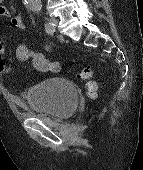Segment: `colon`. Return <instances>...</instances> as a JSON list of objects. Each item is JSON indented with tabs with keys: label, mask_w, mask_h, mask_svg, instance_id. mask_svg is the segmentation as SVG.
<instances>
[{
	"label": "colon",
	"mask_w": 143,
	"mask_h": 170,
	"mask_svg": "<svg viewBox=\"0 0 143 170\" xmlns=\"http://www.w3.org/2000/svg\"><path fill=\"white\" fill-rule=\"evenodd\" d=\"M58 69V65L55 67V70ZM81 78L86 81V87L88 95L91 98H94L97 93V84L92 80V69L90 67H84L80 74Z\"/></svg>",
	"instance_id": "colon-1"
}]
</instances>
